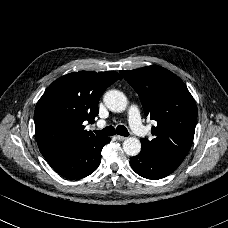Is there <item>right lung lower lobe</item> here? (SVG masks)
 Here are the masks:
<instances>
[{
  "label": "right lung lower lobe",
  "mask_w": 228,
  "mask_h": 228,
  "mask_svg": "<svg viewBox=\"0 0 228 228\" xmlns=\"http://www.w3.org/2000/svg\"><path fill=\"white\" fill-rule=\"evenodd\" d=\"M110 138L93 137L66 150L44 156L60 175L80 179L93 173L101 162V150Z\"/></svg>",
  "instance_id": "right-lung-lower-lobe-1"
}]
</instances>
